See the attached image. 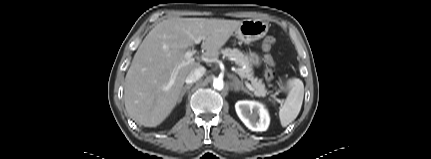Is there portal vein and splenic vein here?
Segmentation results:
<instances>
[{"label": "portal vein and splenic vein", "instance_id": "18ae733b", "mask_svg": "<svg viewBox=\"0 0 431 159\" xmlns=\"http://www.w3.org/2000/svg\"><path fill=\"white\" fill-rule=\"evenodd\" d=\"M203 39H204V37L200 36V37L194 39V43L195 44H199ZM195 53H196V50H194V49L186 51L185 58L187 59L188 63L194 62L193 55ZM172 84H173V79L170 80V82H169V84L167 86V89H169L172 86ZM246 86L248 87V89L250 91H254V88H253V86L250 83L246 82Z\"/></svg>", "mask_w": 431, "mask_h": 159}]
</instances>
